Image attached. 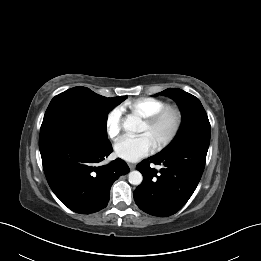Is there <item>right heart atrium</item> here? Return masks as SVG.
<instances>
[{
	"instance_id": "1",
	"label": "right heart atrium",
	"mask_w": 261,
	"mask_h": 261,
	"mask_svg": "<svg viewBox=\"0 0 261 261\" xmlns=\"http://www.w3.org/2000/svg\"><path fill=\"white\" fill-rule=\"evenodd\" d=\"M123 109L115 107L108 112L105 119V129L107 135L114 139L116 138L123 128Z\"/></svg>"
}]
</instances>
